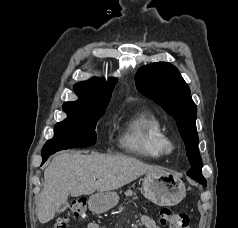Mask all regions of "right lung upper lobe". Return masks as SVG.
I'll return each mask as SVG.
<instances>
[{"instance_id":"cb5924a9","label":"right lung upper lobe","mask_w":238,"mask_h":228,"mask_svg":"<svg viewBox=\"0 0 238 228\" xmlns=\"http://www.w3.org/2000/svg\"><path fill=\"white\" fill-rule=\"evenodd\" d=\"M117 79H109L108 84L104 79L92 78L86 82L75 85L79 99L74 102H66L63 105L65 112H91L96 106L109 103L110 91Z\"/></svg>"}]
</instances>
